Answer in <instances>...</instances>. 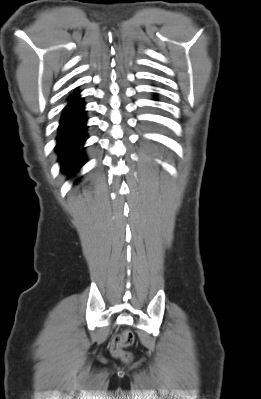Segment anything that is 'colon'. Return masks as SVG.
<instances>
[{
    "instance_id": "1",
    "label": "colon",
    "mask_w": 261,
    "mask_h": 399,
    "mask_svg": "<svg viewBox=\"0 0 261 399\" xmlns=\"http://www.w3.org/2000/svg\"><path fill=\"white\" fill-rule=\"evenodd\" d=\"M134 339V333L131 330H125L122 333L114 335L110 343L111 353L115 357L121 358L125 361L130 360L131 355L125 349L133 344Z\"/></svg>"
}]
</instances>
